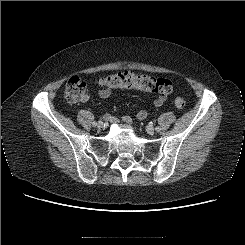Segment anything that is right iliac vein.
Instances as JSON below:
<instances>
[{
  "label": "right iliac vein",
  "instance_id": "63e3f726",
  "mask_svg": "<svg viewBox=\"0 0 245 245\" xmlns=\"http://www.w3.org/2000/svg\"><path fill=\"white\" fill-rule=\"evenodd\" d=\"M96 126H97V128L102 129L104 127V124H103V122L100 121L96 124Z\"/></svg>",
  "mask_w": 245,
  "mask_h": 245
}]
</instances>
